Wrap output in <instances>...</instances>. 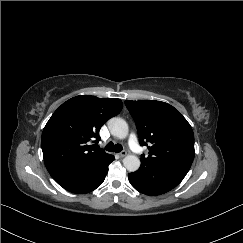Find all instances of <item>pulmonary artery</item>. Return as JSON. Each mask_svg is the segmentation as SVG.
I'll return each mask as SVG.
<instances>
[{
    "label": "pulmonary artery",
    "mask_w": 243,
    "mask_h": 243,
    "mask_svg": "<svg viewBox=\"0 0 243 243\" xmlns=\"http://www.w3.org/2000/svg\"><path fill=\"white\" fill-rule=\"evenodd\" d=\"M129 144L131 146H138V142H137V139L134 135H130L129 137ZM136 153L139 154L140 152L138 150H136Z\"/></svg>",
    "instance_id": "1"
}]
</instances>
